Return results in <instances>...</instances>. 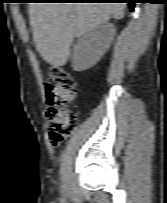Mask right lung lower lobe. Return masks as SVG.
Segmentation results:
<instances>
[{
	"instance_id": "obj_1",
	"label": "right lung lower lobe",
	"mask_w": 167,
	"mask_h": 203,
	"mask_svg": "<svg viewBox=\"0 0 167 203\" xmlns=\"http://www.w3.org/2000/svg\"><path fill=\"white\" fill-rule=\"evenodd\" d=\"M91 1H119V2H123V3H128L131 11L134 10V6L136 3V0H91Z\"/></svg>"
}]
</instances>
